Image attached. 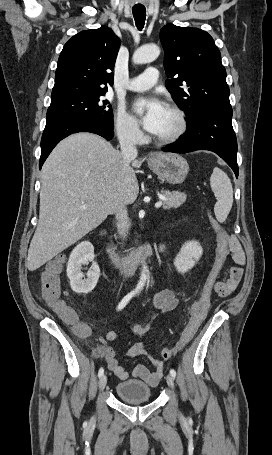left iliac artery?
Returning a JSON list of instances; mask_svg holds the SVG:
<instances>
[{
  "mask_svg": "<svg viewBox=\"0 0 272 455\" xmlns=\"http://www.w3.org/2000/svg\"><path fill=\"white\" fill-rule=\"evenodd\" d=\"M170 374H171L173 377H175V376H176V371H175L174 369H171V370H170Z\"/></svg>",
  "mask_w": 272,
  "mask_h": 455,
  "instance_id": "obj_1",
  "label": "left iliac artery"
}]
</instances>
